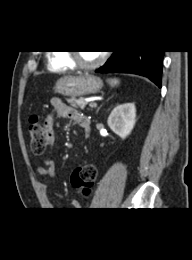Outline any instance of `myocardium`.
Masks as SVG:
<instances>
[{
  "mask_svg": "<svg viewBox=\"0 0 192 260\" xmlns=\"http://www.w3.org/2000/svg\"><path fill=\"white\" fill-rule=\"evenodd\" d=\"M67 54H68L70 61L74 64L75 67H77L81 70H86V71L98 68L105 62V60L107 58V53H102L97 61L90 63V64H86L81 61V59L79 57V53L77 51L72 50V51H69Z\"/></svg>",
  "mask_w": 192,
  "mask_h": 260,
  "instance_id": "obj_1",
  "label": "myocardium"
}]
</instances>
